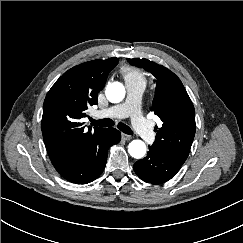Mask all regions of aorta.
<instances>
[{
    "label": "aorta",
    "instance_id": "obj_1",
    "mask_svg": "<svg viewBox=\"0 0 243 243\" xmlns=\"http://www.w3.org/2000/svg\"><path fill=\"white\" fill-rule=\"evenodd\" d=\"M105 94L110 102L118 103L125 97V87L120 82L109 83ZM128 152L133 158L141 159L146 154V145L142 140H133L128 146Z\"/></svg>",
    "mask_w": 243,
    "mask_h": 243
}]
</instances>
